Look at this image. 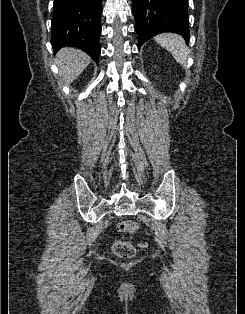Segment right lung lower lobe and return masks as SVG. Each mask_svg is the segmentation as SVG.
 <instances>
[{"label":"right lung lower lobe","instance_id":"98d812e1","mask_svg":"<svg viewBox=\"0 0 245 314\" xmlns=\"http://www.w3.org/2000/svg\"><path fill=\"white\" fill-rule=\"evenodd\" d=\"M102 0H54L51 43L54 51L77 47L98 62Z\"/></svg>","mask_w":245,"mask_h":314}]
</instances>
